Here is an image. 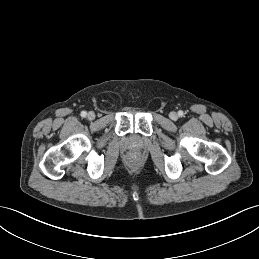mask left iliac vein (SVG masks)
<instances>
[{"instance_id":"4c4485c4","label":"left iliac vein","mask_w":259,"mask_h":259,"mask_svg":"<svg viewBox=\"0 0 259 259\" xmlns=\"http://www.w3.org/2000/svg\"><path fill=\"white\" fill-rule=\"evenodd\" d=\"M170 118H171L172 120H177V119H178L177 113H176V112H171V113H170Z\"/></svg>"}]
</instances>
